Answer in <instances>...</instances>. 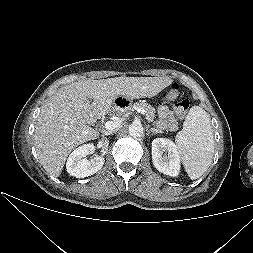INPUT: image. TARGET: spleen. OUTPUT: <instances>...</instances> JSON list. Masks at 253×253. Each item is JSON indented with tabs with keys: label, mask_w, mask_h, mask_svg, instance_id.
<instances>
[{
	"label": "spleen",
	"mask_w": 253,
	"mask_h": 253,
	"mask_svg": "<svg viewBox=\"0 0 253 253\" xmlns=\"http://www.w3.org/2000/svg\"><path fill=\"white\" fill-rule=\"evenodd\" d=\"M176 146L190 179L201 177L212 162L214 137L211 118L204 109L193 106L176 136Z\"/></svg>",
	"instance_id": "spleen-1"
}]
</instances>
